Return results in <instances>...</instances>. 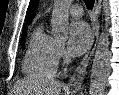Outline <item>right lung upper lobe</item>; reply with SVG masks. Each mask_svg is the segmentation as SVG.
Returning <instances> with one entry per match:
<instances>
[{
    "label": "right lung upper lobe",
    "mask_w": 119,
    "mask_h": 95,
    "mask_svg": "<svg viewBox=\"0 0 119 95\" xmlns=\"http://www.w3.org/2000/svg\"><path fill=\"white\" fill-rule=\"evenodd\" d=\"M37 4H38V0L30 1L29 7H28L27 13H26V18H25L26 23H30V21L33 19ZM26 31H27V27H26V25H24L23 32H26Z\"/></svg>",
    "instance_id": "right-lung-upper-lobe-1"
}]
</instances>
